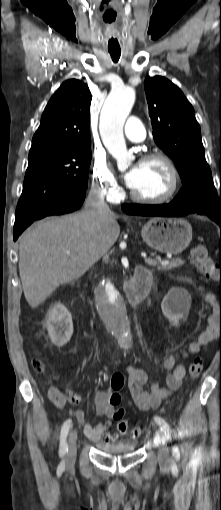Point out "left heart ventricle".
I'll return each instance as SVG.
<instances>
[{
	"mask_svg": "<svg viewBox=\"0 0 221 510\" xmlns=\"http://www.w3.org/2000/svg\"><path fill=\"white\" fill-rule=\"evenodd\" d=\"M170 182V172L162 161L139 162L138 176L131 189L143 197H159L168 191Z\"/></svg>",
	"mask_w": 221,
	"mask_h": 510,
	"instance_id": "b2bd125f",
	"label": "left heart ventricle"
}]
</instances>
